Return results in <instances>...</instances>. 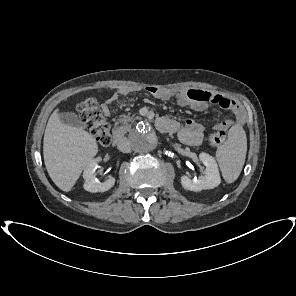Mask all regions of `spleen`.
Instances as JSON below:
<instances>
[{
  "label": "spleen",
  "instance_id": "obj_1",
  "mask_svg": "<svg viewBox=\"0 0 296 296\" xmlns=\"http://www.w3.org/2000/svg\"><path fill=\"white\" fill-rule=\"evenodd\" d=\"M246 152V133L240 125H234L229 129L226 141L216 151L217 162L227 183H233L239 177Z\"/></svg>",
  "mask_w": 296,
  "mask_h": 296
}]
</instances>
